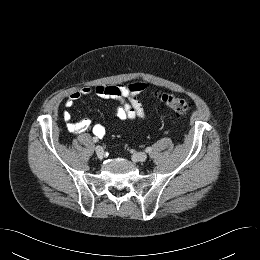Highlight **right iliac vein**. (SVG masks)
<instances>
[{
	"instance_id": "1",
	"label": "right iliac vein",
	"mask_w": 260,
	"mask_h": 260,
	"mask_svg": "<svg viewBox=\"0 0 260 260\" xmlns=\"http://www.w3.org/2000/svg\"><path fill=\"white\" fill-rule=\"evenodd\" d=\"M95 152L98 156L99 159H102L104 156V149L101 146H96L95 147Z\"/></svg>"
}]
</instances>
